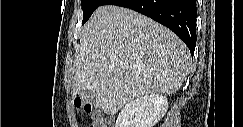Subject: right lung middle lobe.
<instances>
[{"label": "right lung middle lobe", "instance_id": "right-lung-middle-lobe-1", "mask_svg": "<svg viewBox=\"0 0 243 127\" xmlns=\"http://www.w3.org/2000/svg\"><path fill=\"white\" fill-rule=\"evenodd\" d=\"M105 0H81V5L83 9V21L84 24L92 15V13L103 3Z\"/></svg>", "mask_w": 243, "mask_h": 127}]
</instances>
